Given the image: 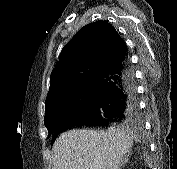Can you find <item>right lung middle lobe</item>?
<instances>
[{
  "instance_id": "1",
  "label": "right lung middle lobe",
  "mask_w": 177,
  "mask_h": 169,
  "mask_svg": "<svg viewBox=\"0 0 177 169\" xmlns=\"http://www.w3.org/2000/svg\"><path fill=\"white\" fill-rule=\"evenodd\" d=\"M93 93L94 84L91 81L76 89L66 99L46 107L44 124L49 132L47 138H50L66 120L84 110L89 105Z\"/></svg>"
}]
</instances>
